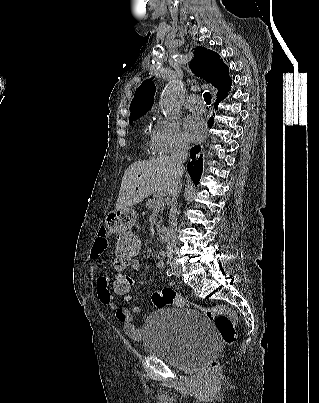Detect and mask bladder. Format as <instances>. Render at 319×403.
<instances>
[{
	"label": "bladder",
	"mask_w": 319,
	"mask_h": 403,
	"mask_svg": "<svg viewBox=\"0 0 319 403\" xmlns=\"http://www.w3.org/2000/svg\"><path fill=\"white\" fill-rule=\"evenodd\" d=\"M143 342L149 354L185 371L204 366L220 349L210 318L184 308L153 311L143 327Z\"/></svg>",
	"instance_id": "31cf9c89"
}]
</instances>
